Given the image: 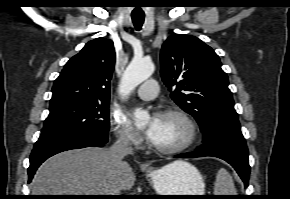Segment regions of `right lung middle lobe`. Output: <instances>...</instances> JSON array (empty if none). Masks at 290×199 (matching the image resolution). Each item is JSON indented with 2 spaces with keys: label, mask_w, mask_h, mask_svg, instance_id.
Returning <instances> with one entry per match:
<instances>
[{
  "label": "right lung middle lobe",
  "mask_w": 290,
  "mask_h": 199,
  "mask_svg": "<svg viewBox=\"0 0 290 199\" xmlns=\"http://www.w3.org/2000/svg\"><path fill=\"white\" fill-rule=\"evenodd\" d=\"M108 103L74 104L50 110L39 140L82 133L108 135Z\"/></svg>",
  "instance_id": "1"
}]
</instances>
